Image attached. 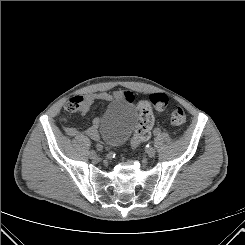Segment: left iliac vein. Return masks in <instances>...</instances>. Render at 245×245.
Segmentation results:
<instances>
[{
    "label": "left iliac vein",
    "instance_id": "4c4485c4",
    "mask_svg": "<svg viewBox=\"0 0 245 245\" xmlns=\"http://www.w3.org/2000/svg\"><path fill=\"white\" fill-rule=\"evenodd\" d=\"M155 153H156V151H155L154 148H149V149L147 150V155H148L149 157H154V156H155Z\"/></svg>",
    "mask_w": 245,
    "mask_h": 245
}]
</instances>
